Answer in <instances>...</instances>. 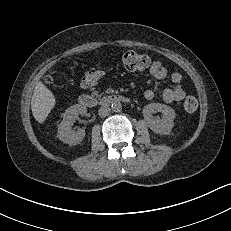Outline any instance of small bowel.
Listing matches in <instances>:
<instances>
[{"mask_svg":"<svg viewBox=\"0 0 231 231\" xmlns=\"http://www.w3.org/2000/svg\"><path fill=\"white\" fill-rule=\"evenodd\" d=\"M104 74V71L100 69L86 72L82 78L81 86L83 88L96 86L104 77ZM150 74L154 79L161 80L167 77L168 70L161 62L154 61L150 67ZM170 80L173 86L163 90L161 94L163 101L166 103H173L183 100L185 97V91L181 86L182 75L179 72H173L170 75ZM143 96L147 100H152L156 97V93L153 90H146L144 91Z\"/></svg>","mask_w":231,"mask_h":231,"instance_id":"1","label":"small bowel"}]
</instances>
